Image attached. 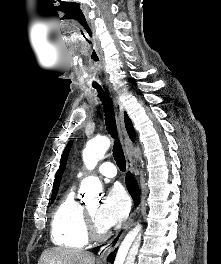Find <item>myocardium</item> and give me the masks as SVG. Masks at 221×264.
Wrapping results in <instances>:
<instances>
[{"label": "myocardium", "instance_id": "1", "mask_svg": "<svg viewBox=\"0 0 221 264\" xmlns=\"http://www.w3.org/2000/svg\"><path fill=\"white\" fill-rule=\"evenodd\" d=\"M84 215H85V221L87 226V231L89 237L93 239H103L107 235V230H101L98 228L92 214L88 211L87 208L84 207Z\"/></svg>", "mask_w": 221, "mask_h": 264}]
</instances>
